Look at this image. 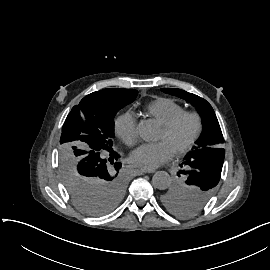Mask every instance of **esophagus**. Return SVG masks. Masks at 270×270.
I'll return each mask as SVG.
<instances>
[{
    "instance_id": "esophagus-1",
    "label": "esophagus",
    "mask_w": 270,
    "mask_h": 270,
    "mask_svg": "<svg viewBox=\"0 0 270 270\" xmlns=\"http://www.w3.org/2000/svg\"><path fill=\"white\" fill-rule=\"evenodd\" d=\"M155 168H142L141 169V172L142 173H153V172H155Z\"/></svg>"
}]
</instances>
